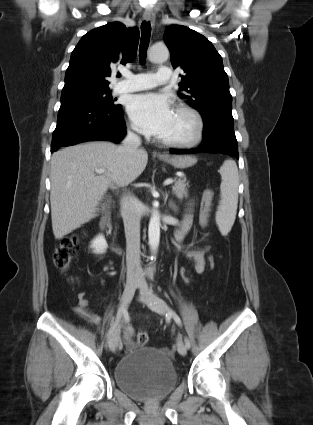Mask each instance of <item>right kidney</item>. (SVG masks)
<instances>
[{
    "instance_id": "obj_1",
    "label": "right kidney",
    "mask_w": 313,
    "mask_h": 425,
    "mask_svg": "<svg viewBox=\"0 0 313 425\" xmlns=\"http://www.w3.org/2000/svg\"><path fill=\"white\" fill-rule=\"evenodd\" d=\"M108 245L103 235H98L92 242L91 248L95 253H104Z\"/></svg>"
}]
</instances>
